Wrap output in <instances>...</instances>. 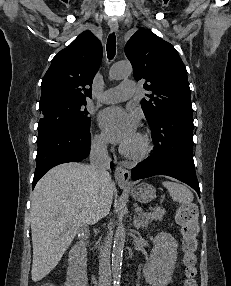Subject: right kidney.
<instances>
[{
  "mask_svg": "<svg viewBox=\"0 0 231 286\" xmlns=\"http://www.w3.org/2000/svg\"><path fill=\"white\" fill-rule=\"evenodd\" d=\"M78 249L79 247L76 245L69 253L65 286H87L88 284L87 260Z\"/></svg>",
  "mask_w": 231,
  "mask_h": 286,
  "instance_id": "ca27d5eb",
  "label": "right kidney"
}]
</instances>
